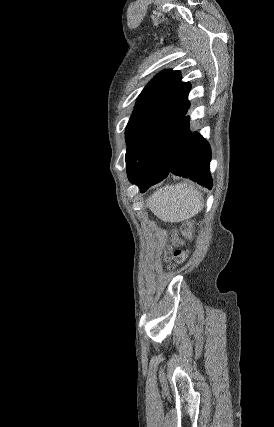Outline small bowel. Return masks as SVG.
<instances>
[{"mask_svg": "<svg viewBox=\"0 0 274 427\" xmlns=\"http://www.w3.org/2000/svg\"><path fill=\"white\" fill-rule=\"evenodd\" d=\"M168 253H169V255L174 256V257H181V256L184 254V251L180 248V250H179V251H170V250H169V252H168ZM159 266H160V268H161V269H163V270H164V269H166V268H167V266H168V265H167V263H166V262H164V261H163V262H161V263H160V265H159ZM177 267H178V268H181V267H182V264H181V263H178V264H177Z\"/></svg>", "mask_w": 274, "mask_h": 427, "instance_id": "c3829d8e", "label": "small bowel"}]
</instances>
